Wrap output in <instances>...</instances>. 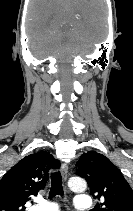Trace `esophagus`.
I'll list each match as a JSON object with an SVG mask.
<instances>
[{
	"label": "esophagus",
	"mask_w": 133,
	"mask_h": 211,
	"mask_svg": "<svg viewBox=\"0 0 133 211\" xmlns=\"http://www.w3.org/2000/svg\"><path fill=\"white\" fill-rule=\"evenodd\" d=\"M61 174H62L63 180L66 182L68 178V165L66 163H63L61 165Z\"/></svg>",
	"instance_id": "1"
}]
</instances>
